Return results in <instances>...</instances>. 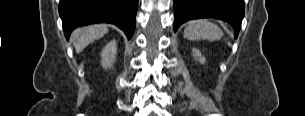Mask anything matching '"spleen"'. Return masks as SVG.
<instances>
[{
	"instance_id": "3e777b00",
	"label": "spleen",
	"mask_w": 305,
	"mask_h": 116,
	"mask_svg": "<svg viewBox=\"0 0 305 116\" xmlns=\"http://www.w3.org/2000/svg\"><path fill=\"white\" fill-rule=\"evenodd\" d=\"M183 34L188 40L206 39L214 41L223 36L221 29L206 19L189 21Z\"/></svg>"
}]
</instances>
